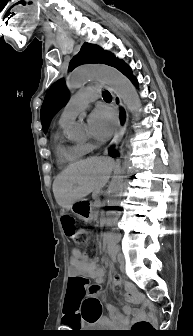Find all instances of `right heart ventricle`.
Listing matches in <instances>:
<instances>
[{
    "label": "right heart ventricle",
    "instance_id": "e07e8e85",
    "mask_svg": "<svg viewBox=\"0 0 193 336\" xmlns=\"http://www.w3.org/2000/svg\"><path fill=\"white\" fill-rule=\"evenodd\" d=\"M55 141L56 156L61 164L74 163L88 152L83 143L66 142L59 133L56 134Z\"/></svg>",
    "mask_w": 193,
    "mask_h": 336
}]
</instances>
